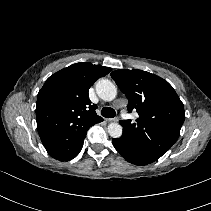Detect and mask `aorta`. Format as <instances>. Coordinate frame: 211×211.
<instances>
[{
	"label": "aorta",
	"instance_id": "762f6f07",
	"mask_svg": "<svg viewBox=\"0 0 211 211\" xmlns=\"http://www.w3.org/2000/svg\"><path fill=\"white\" fill-rule=\"evenodd\" d=\"M95 88L97 95L104 101H112L117 95L116 86L108 79L99 80ZM107 129L112 138L122 136V126L118 123H110Z\"/></svg>",
	"mask_w": 211,
	"mask_h": 211
}]
</instances>
